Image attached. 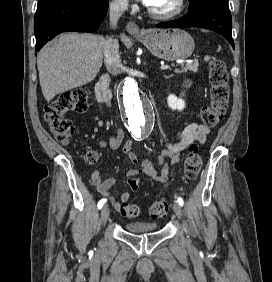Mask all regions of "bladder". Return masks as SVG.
<instances>
[{"mask_svg":"<svg viewBox=\"0 0 272 282\" xmlns=\"http://www.w3.org/2000/svg\"><path fill=\"white\" fill-rule=\"evenodd\" d=\"M125 229L134 234H144L154 232L158 228V224L146 221H131L125 224Z\"/></svg>","mask_w":272,"mask_h":282,"instance_id":"obj_1","label":"bladder"}]
</instances>
